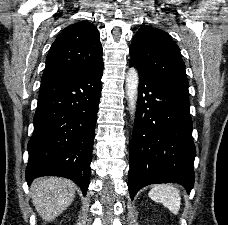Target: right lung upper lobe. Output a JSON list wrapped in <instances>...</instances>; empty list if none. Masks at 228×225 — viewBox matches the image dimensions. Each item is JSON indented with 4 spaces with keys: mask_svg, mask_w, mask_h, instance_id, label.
I'll return each mask as SVG.
<instances>
[{
    "mask_svg": "<svg viewBox=\"0 0 228 225\" xmlns=\"http://www.w3.org/2000/svg\"><path fill=\"white\" fill-rule=\"evenodd\" d=\"M98 29L83 21L66 27L52 44L41 82L73 75L103 60Z\"/></svg>",
    "mask_w": 228,
    "mask_h": 225,
    "instance_id": "obj_1",
    "label": "right lung upper lobe"
}]
</instances>
